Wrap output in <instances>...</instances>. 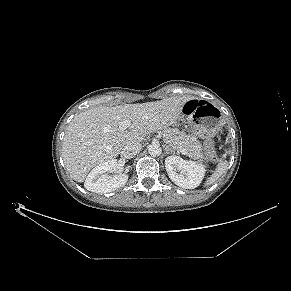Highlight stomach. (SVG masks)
<instances>
[{"label":"stomach","mask_w":291,"mask_h":291,"mask_svg":"<svg viewBox=\"0 0 291 291\" xmlns=\"http://www.w3.org/2000/svg\"><path fill=\"white\" fill-rule=\"evenodd\" d=\"M190 130L199 137H212L223 127L220 109L212 103L199 105L195 111L186 116Z\"/></svg>","instance_id":"1"}]
</instances>
